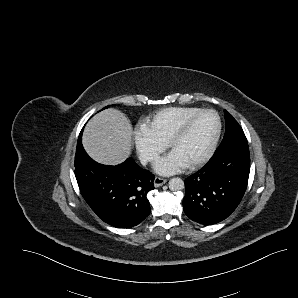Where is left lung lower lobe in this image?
<instances>
[{
	"mask_svg": "<svg viewBox=\"0 0 298 298\" xmlns=\"http://www.w3.org/2000/svg\"><path fill=\"white\" fill-rule=\"evenodd\" d=\"M249 172L250 153L245 136L219 146L210 161L185 180V214L203 225L224 220L240 203Z\"/></svg>",
	"mask_w": 298,
	"mask_h": 298,
	"instance_id": "0a47b994",
	"label": "left lung lower lobe"
}]
</instances>
